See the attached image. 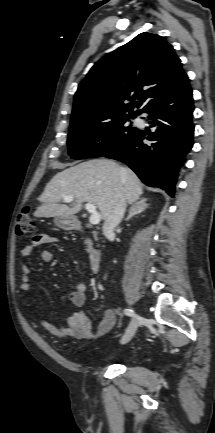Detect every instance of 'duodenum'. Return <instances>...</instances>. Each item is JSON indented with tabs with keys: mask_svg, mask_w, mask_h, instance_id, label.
<instances>
[{
	"mask_svg": "<svg viewBox=\"0 0 215 433\" xmlns=\"http://www.w3.org/2000/svg\"><path fill=\"white\" fill-rule=\"evenodd\" d=\"M71 227H72V229L77 230V231H84L81 223H79L77 221L73 222L72 225H71ZM101 259H102V256H101L100 252H98L96 250H93L91 252V255H90V269L94 273H97L99 271V268H100V265H101Z\"/></svg>",
	"mask_w": 215,
	"mask_h": 433,
	"instance_id": "obj_1",
	"label": "duodenum"
}]
</instances>
